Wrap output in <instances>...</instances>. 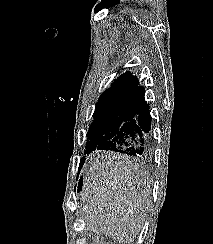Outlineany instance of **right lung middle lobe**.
<instances>
[{
    "label": "right lung middle lobe",
    "mask_w": 213,
    "mask_h": 244,
    "mask_svg": "<svg viewBox=\"0 0 213 244\" xmlns=\"http://www.w3.org/2000/svg\"><path fill=\"white\" fill-rule=\"evenodd\" d=\"M135 103L136 97L131 96L99 99L87 133L85 152L95 149L117 135L122 124L133 115Z\"/></svg>",
    "instance_id": "right-lung-middle-lobe-1"
}]
</instances>
